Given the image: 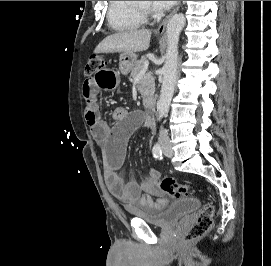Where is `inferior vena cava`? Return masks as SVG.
Here are the masks:
<instances>
[{
  "mask_svg": "<svg viewBox=\"0 0 271 266\" xmlns=\"http://www.w3.org/2000/svg\"><path fill=\"white\" fill-rule=\"evenodd\" d=\"M160 141H167L168 140V134L166 130L160 131Z\"/></svg>",
  "mask_w": 271,
  "mask_h": 266,
  "instance_id": "1",
  "label": "inferior vena cava"
}]
</instances>
